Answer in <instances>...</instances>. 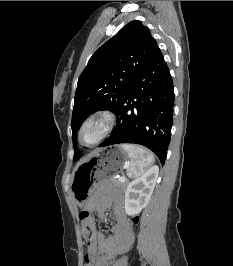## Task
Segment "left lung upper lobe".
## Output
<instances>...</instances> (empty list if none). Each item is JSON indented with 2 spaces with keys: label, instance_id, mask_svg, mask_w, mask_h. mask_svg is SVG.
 I'll list each match as a JSON object with an SVG mask.
<instances>
[{
  "label": "left lung upper lobe",
  "instance_id": "1",
  "mask_svg": "<svg viewBox=\"0 0 233 266\" xmlns=\"http://www.w3.org/2000/svg\"><path fill=\"white\" fill-rule=\"evenodd\" d=\"M156 47L150 30L134 20L93 54L77 83L71 122L74 144L88 115L98 110L116 113ZM78 156L75 150L74 160Z\"/></svg>",
  "mask_w": 233,
  "mask_h": 266
}]
</instances>
